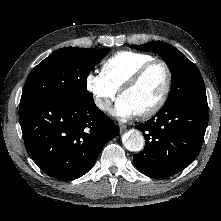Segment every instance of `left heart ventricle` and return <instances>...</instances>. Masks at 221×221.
<instances>
[{
    "mask_svg": "<svg viewBox=\"0 0 221 221\" xmlns=\"http://www.w3.org/2000/svg\"><path fill=\"white\" fill-rule=\"evenodd\" d=\"M166 71L160 64L152 66L131 89L126 91L121 98L139 113L152 107L161 97L166 85Z\"/></svg>",
    "mask_w": 221,
    "mask_h": 221,
    "instance_id": "b2bd125f",
    "label": "left heart ventricle"
}]
</instances>
